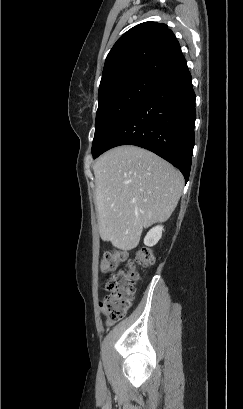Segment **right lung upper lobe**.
Segmentation results:
<instances>
[{"mask_svg": "<svg viewBox=\"0 0 243 409\" xmlns=\"http://www.w3.org/2000/svg\"><path fill=\"white\" fill-rule=\"evenodd\" d=\"M183 59L179 42L167 25L138 24L124 33L108 53L98 98L111 85L133 77L160 80Z\"/></svg>", "mask_w": 243, "mask_h": 409, "instance_id": "1", "label": "right lung upper lobe"}]
</instances>
